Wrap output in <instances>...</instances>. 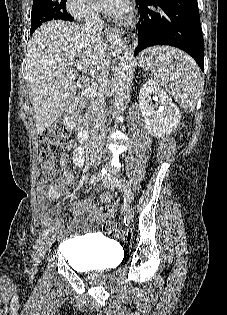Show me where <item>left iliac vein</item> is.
<instances>
[{"instance_id":"1","label":"left iliac vein","mask_w":227,"mask_h":315,"mask_svg":"<svg viewBox=\"0 0 227 315\" xmlns=\"http://www.w3.org/2000/svg\"><path fill=\"white\" fill-rule=\"evenodd\" d=\"M105 185L107 187H111V189H113L114 183L111 181H107V179H105ZM114 186H116V185H114ZM116 188L122 189V186H116ZM127 190H128V192L132 193V191L130 189L127 188ZM125 217H126V220L128 223H130L134 219V210H133L132 206L129 204L126 205V207H125Z\"/></svg>"}]
</instances>
